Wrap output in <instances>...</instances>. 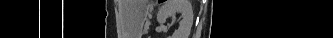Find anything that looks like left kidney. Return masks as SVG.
<instances>
[{
    "instance_id": "obj_1",
    "label": "left kidney",
    "mask_w": 333,
    "mask_h": 38,
    "mask_svg": "<svg viewBox=\"0 0 333 38\" xmlns=\"http://www.w3.org/2000/svg\"><path fill=\"white\" fill-rule=\"evenodd\" d=\"M176 13L181 14L182 19L171 37L188 38L193 24V10L188 0H166L159 8L157 21L164 24L168 17L175 16Z\"/></svg>"
}]
</instances>
